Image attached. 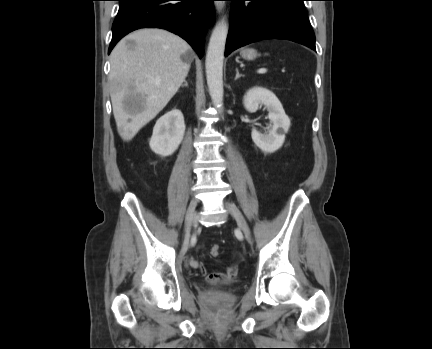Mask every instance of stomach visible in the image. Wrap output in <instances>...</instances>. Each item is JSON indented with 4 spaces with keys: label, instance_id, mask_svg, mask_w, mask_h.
Here are the masks:
<instances>
[{
    "label": "stomach",
    "instance_id": "0dacf381",
    "mask_svg": "<svg viewBox=\"0 0 432 349\" xmlns=\"http://www.w3.org/2000/svg\"><path fill=\"white\" fill-rule=\"evenodd\" d=\"M240 55L246 60H254L257 57L258 53L253 48H245L240 51Z\"/></svg>",
    "mask_w": 432,
    "mask_h": 349
}]
</instances>
